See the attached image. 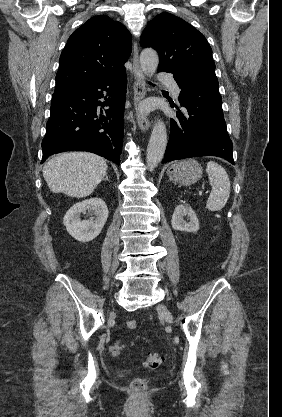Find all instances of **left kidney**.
Segmentation results:
<instances>
[{
  "mask_svg": "<svg viewBox=\"0 0 282 417\" xmlns=\"http://www.w3.org/2000/svg\"><path fill=\"white\" fill-rule=\"evenodd\" d=\"M189 217V223L184 221V217ZM171 225L174 231H187V233H197L199 231V221L196 213L191 209L190 204L182 202L175 206V211L172 215Z\"/></svg>",
  "mask_w": 282,
  "mask_h": 417,
  "instance_id": "5707ae66",
  "label": "left kidney"
}]
</instances>
